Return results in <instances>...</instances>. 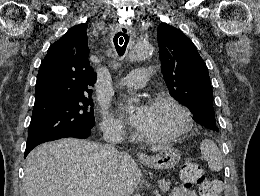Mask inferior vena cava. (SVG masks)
Wrapping results in <instances>:
<instances>
[{
    "instance_id": "1",
    "label": "inferior vena cava",
    "mask_w": 260,
    "mask_h": 196,
    "mask_svg": "<svg viewBox=\"0 0 260 196\" xmlns=\"http://www.w3.org/2000/svg\"><path fill=\"white\" fill-rule=\"evenodd\" d=\"M103 138L107 142V144H104V148L108 154V160H111L113 156L118 154V150L115 148L116 144L123 142L122 132L121 130H109V132H104ZM107 196H121V194L116 186H111Z\"/></svg>"
}]
</instances>
